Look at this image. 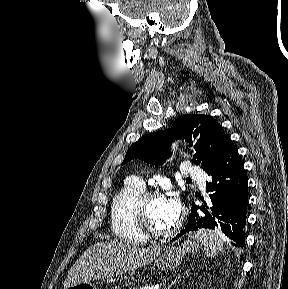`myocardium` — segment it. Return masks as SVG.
Instances as JSON below:
<instances>
[{
  "label": "myocardium",
  "mask_w": 288,
  "mask_h": 289,
  "mask_svg": "<svg viewBox=\"0 0 288 289\" xmlns=\"http://www.w3.org/2000/svg\"><path fill=\"white\" fill-rule=\"evenodd\" d=\"M162 199V197L150 191L143 190L134 200L131 207L132 224L138 232L146 237H162L167 235L170 231L158 230L152 227L145 217V206L150 200Z\"/></svg>",
  "instance_id": "myocardium-1"
}]
</instances>
